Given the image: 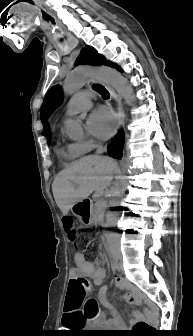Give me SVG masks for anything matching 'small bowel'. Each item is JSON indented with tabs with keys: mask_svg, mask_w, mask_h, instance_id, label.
<instances>
[{
	"mask_svg": "<svg viewBox=\"0 0 193 336\" xmlns=\"http://www.w3.org/2000/svg\"><path fill=\"white\" fill-rule=\"evenodd\" d=\"M72 260L73 267L70 270L66 307L62 318V324L66 327H71L75 322H86V313L83 307L84 294L80 284L92 280L95 285L101 286L106 276L105 270L97 262L88 261L82 253H74ZM114 283L118 288L127 290L123 297L125 303L144 301L140 292L120 276L114 278ZM106 291L107 287L103 286L101 288V299L106 309L110 312L111 318L99 317L95 319V322L118 325L120 324V318L117 309L106 300ZM149 306L154 309L153 305L150 304Z\"/></svg>",
	"mask_w": 193,
	"mask_h": 336,
	"instance_id": "c3829d8e",
	"label": "small bowel"
}]
</instances>
